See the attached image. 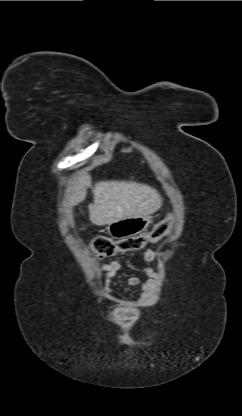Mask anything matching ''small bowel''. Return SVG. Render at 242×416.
Listing matches in <instances>:
<instances>
[{
  "label": "small bowel",
  "instance_id": "c3829d8e",
  "mask_svg": "<svg viewBox=\"0 0 242 416\" xmlns=\"http://www.w3.org/2000/svg\"><path fill=\"white\" fill-rule=\"evenodd\" d=\"M145 275L146 279L139 277H130L128 284L140 289V293L135 299H118L119 308L115 311L114 316L117 320L125 322L138 317L141 310L148 304L151 288L154 280L158 276V267L156 265V253L148 248L144 253ZM121 268V262L118 260L111 261L101 266L102 272L105 273L107 280H111Z\"/></svg>",
  "mask_w": 242,
  "mask_h": 416
}]
</instances>
